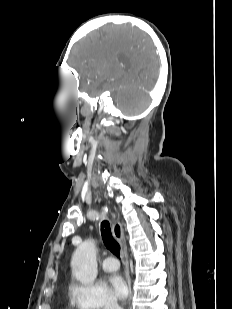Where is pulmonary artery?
Instances as JSON below:
<instances>
[{
	"label": "pulmonary artery",
	"mask_w": 232,
	"mask_h": 309,
	"mask_svg": "<svg viewBox=\"0 0 232 309\" xmlns=\"http://www.w3.org/2000/svg\"><path fill=\"white\" fill-rule=\"evenodd\" d=\"M102 269L107 272H112L118 269L119 263L114 257H107L101 263Z\"/></svg>",
	"instance_id": "obj_1"
}]
</instances>
